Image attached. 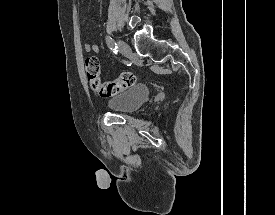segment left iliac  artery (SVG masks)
<instances>
[{"mask_svg": "<svg viewBox=\"0 0 275 215\" xmlns=\"http://www.w3.org/2000/svg\"><path fill=\"white\" fill-rule=\"evenodd\" d=\"M106 43L108 45V47L113 50L114 53H117V44L116 42L110 37V36H107L106 37Z\"/></svg>", "mask_w": 275, "mask_h": 215, "instance_id": "44dca946", "label": "left iliac artery"}]
</instances>
